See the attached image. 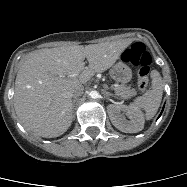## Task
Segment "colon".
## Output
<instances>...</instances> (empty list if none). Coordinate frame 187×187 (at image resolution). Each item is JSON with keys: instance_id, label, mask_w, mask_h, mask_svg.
<instances>
[{"instance_id": "1", "label": "colon", "mask_w": 187, "mask_h": 187, "mask_svg": "<svg viewBox=\"0 0 187 187\" xmlns=\"http://www.w3.org/2000/svg\"><path fill=\"white\" fill-rule=\"evenodd\" d=\"M123 60L137 68V88L144 92L148 85L151 56L142 43H135L123 54Z\"/></svg>"}]
</instances>
